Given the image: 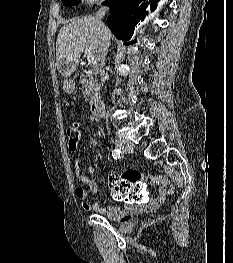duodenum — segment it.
<instances>
[{
	"instance_id": "1",
	"label": "duodenum",
	"mask_w": 233,
	"mask_h": 263,
	"mask_svg": "<svg viewBox=\"0 0 233 263\" xmlns=\"http://www.w3.org/2000/svg\"><path fill=\"white\" fill-rule=\"evenodd\" d=\"M87 98H90L91 102V111L94 116L102 117L105 114V105L104 99L101 98V90L100 86L97 85L96 82H91L90 85L87 86Z\"/></svg>"
}]
</instances>
